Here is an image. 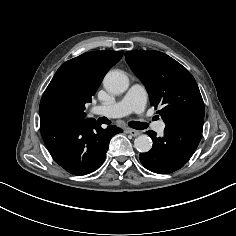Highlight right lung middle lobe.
<instances>
[{
	"label": "right lung middle lobe",
	"mask_w": 236,
	"mask_h": 236,
	"mask_svg": "<svg viewBox=\"0 0 236 236\" xmlns=\"http://www.w3.org/2000/svg\"><path fill=\"white\" fill-rule=\"evenodd\" d=\"M80 108L79 100L71 95H59L53 101V109L67 116L75 114Z\"/></svg>",
	"instance_id": "1"
}]
</instances>
